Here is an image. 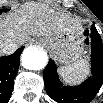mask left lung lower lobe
<instances>
[{
  "label": "left lung lower lobe",
  "instance_id": "obj_1",
  "mask_svg": "<svg viewBox=\"0 0 103 103\" xmlns=\"http://www.w3.org/2000/svg\"><path fill=\"white\" fill-rule=\"evenodd\" d=\"M92 76L78 86H62L53 60L46 66L43 76L49 96L59 103H89L103 84V49L101 37L95 26H91Z\"/></svg>",
  "mask_w": 103,
  "mask_h": 103
}]
</instances>
